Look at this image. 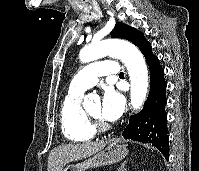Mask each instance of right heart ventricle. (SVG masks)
I'll return each mask as SVG.
<instances>
[{"mask_svg": "<svg viewBox=\"0 0 199 171\" xmlns=\"http://www.w3.org/2000/svg\"><path fill=\"white\" fill-rule=\"evenodd\" d=\"M83 91L68 89L61 103L60 124L66 139L84 142L94 136V129L81 106Z\"/></svg>", "mask_w": 199, "mask_h": 171, "instance_id": "right-heart-ventricle-1", "label": "right heart ventricle"}]
</instances>
